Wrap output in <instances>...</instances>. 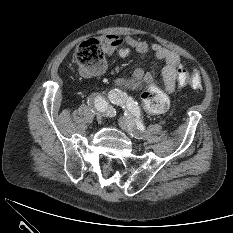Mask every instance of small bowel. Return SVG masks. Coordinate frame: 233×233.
<instances>
[{
	"label": "small bowel",
	"instance_id": "c3829d8e",
	"mask_svg": "<svg viewBox=\"0 0 233 233\" xmlns=\"http://www.w3.org/2000/svg\"><path fill=\"white\" fill-rule=\"evenodd\" d=\"M132 50H135L142 57L146 56L149 51H152L155 58L159 62L164 63L162 76L165 90L169 94L173 93L176 88L178 71L181 69L180 57L178 54L159 44H152L149 46L145 41L131 36L107 35L104 37V51L107 56L118 53L121 57H126ZM103 69L102 67L98 71L86 75L93 76L99 74ZM142 78H147V76L144 74L142 68H138L131 78L120 79L119 83L122 85H132Z\"/></svg>",
	"mask_w": 233,
	"mask_h": 233
}]
</instances>
